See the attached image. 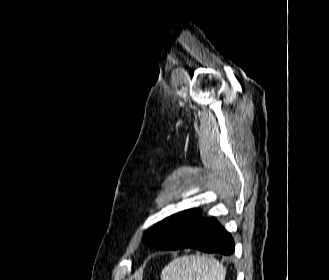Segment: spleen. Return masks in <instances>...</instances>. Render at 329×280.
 I'll list each match as a JSON object with an SVG mask.
<instances>
[{
    "label": "spleen",
    "instance_id": "obj_1",
    "mask_svg": "<svg viewBox=\"0 0 329 280\" xmlns=\"http://www.w3.org/2000/svg\"><path fill=\"white\" fill-rule=\"evenodd\" d=\"M225 269L206 255H184L171 261L161 273V280H225Z\"/></svg>",
    "mask_w": 329,
    "mask_h": 280
}]
</instances>
